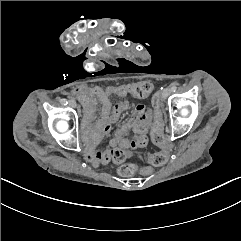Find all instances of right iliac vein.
<instances>
[{
	"instance_id": "obj_1",
	"label": "right iliac vein",
	"mask_w": 241,
	"mask_h": 241,
	"mask_svg": "<svg viewBox=\"0 0 241 241\" xmlns=\"http://www.w3.org/2000/svg\"><path fill=\"white\" fill-rule=\"evenodd\" d=\"M69 104H70L71 107H76V102L73 101V100H70Z\"/></svg>"
}]
</instances>
